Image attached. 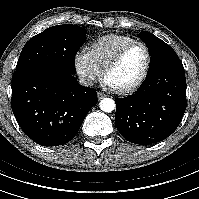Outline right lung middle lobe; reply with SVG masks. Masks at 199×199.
Segmentation results:
<instances>
[{"mask_svg": "<svg viewBox=\"0 0 199 199\" xmlns=\"http://www.w3.org/2000/svg\"><path fill=\"white\" fill-rule=\"evenodd\" d=\"M85 40L86 30L76 25L47 28L23 47L13 76L45 67H56L74 74L75 55Z\"/></svg>", "mask_w": 199, "mask_h": 199, "instance_id": "1", "label": "right lung middle lobe"}]
</instances>
